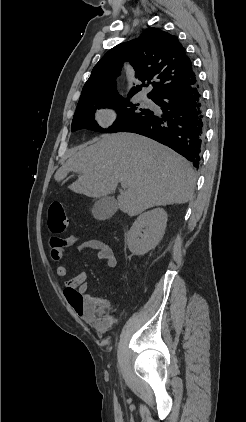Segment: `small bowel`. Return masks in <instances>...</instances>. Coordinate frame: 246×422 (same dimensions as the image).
<instances>
[{"mask_svg":"<svg viewBox=\"0 0 246 422\" xmlns=\"http://www.w3.org/2000/svg\"><path fill=\"white\" fill-rule=\"evenodd\" d=\"M77 241L78 239L75 236H70L66 239L52 238L50 240L52 260L59 261L65 255L71 254L70 248ZM76 248L79 251L86 248L94 249L99 260L107 267L115 268L117 266V257L112 247L106 242L92 239L77 245ZM55 272L58 277H67L69 275V270L64 265L57 266ZM87 288V274L81 272L65 281L64 296L78 315L86 322L104 329L112 321V318L108 315L112 308L111 302L104 297L86 295Z\"/></svg>","mask_w":246,"mask_h":422,"instance_id":"small-bowel-1","label":"small bowel"}]
</instances>
